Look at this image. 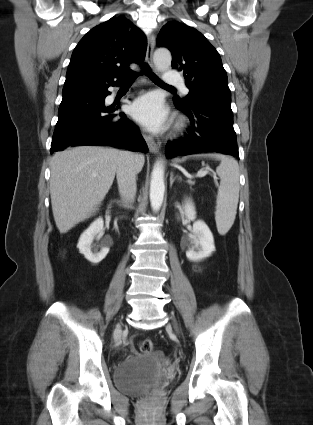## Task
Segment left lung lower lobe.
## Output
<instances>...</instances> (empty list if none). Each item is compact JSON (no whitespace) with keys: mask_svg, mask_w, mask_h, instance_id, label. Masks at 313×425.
I'll return each instance as SVG.
<instances>
[{"mask_svg":"<svg viewBox=\"0 0 313 425\" xmlns=\"http://www.w3.org/2000/svg\"><path fill=\"white\" fill-rule=\"evenodd\" d=\"M175 105L190 118V126L183 139L167 143V157L215 152L239 158L230 103L201 100Z\"/></svg>","mask_w":313,"mask_h":425,"instance_id":"1","label":"left lung lower lobe"}]
</instances>
